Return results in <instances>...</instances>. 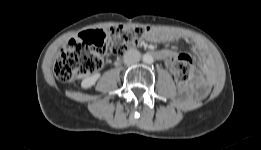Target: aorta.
<instances>
[{
    "label": "aorta",
    "mask_w": 261,
    "mask_h": 150,
    "mask_svg": "<svg viewBox=\"0 0 261 150\" xmlns=\"http://www.w3.org/2000/svg\"><path fill=\"white\" fill-rule=\"evenodd\" d=\"M154 61V58L151 54H144L143 55V62L146 64H152Z\"/></svg>",
    "instance_id": "1"
}]
</instances>
